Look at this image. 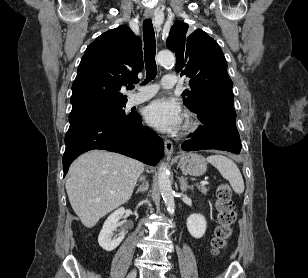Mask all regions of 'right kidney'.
Returning a JSON list of instances; mask_svg holds the SVG:
<instances>
[{
	"label": "right kidney",
	"instance_id": "obj_1",
	"mask_svg": "<svg viewBox=\"0 0 308 278\" xmlns=\"http://www.w3.org/2000/svg\"><path fill=\"white\" fill-rule=\"evenodd\" d=\"M124 213L125 209L119 208L106 219L103 228L98 236V243L104 250H114L124 239L123 235L119 236L118 238L112 239V233L118 226V221L124 215Z\"/></svg>",
	"mask_w": 308,
	"mask_h": 278
}]
</instances>
